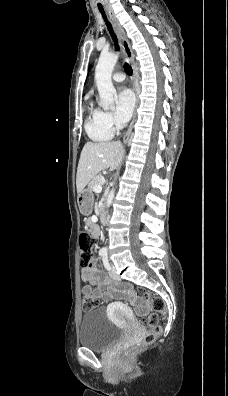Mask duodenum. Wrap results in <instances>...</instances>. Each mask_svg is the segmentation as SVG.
Instances as JSON below:
<instances>
[{
  "mask_svg": "<svg viewBox=\"0 0 228 396\" xmlns=\"http://www.w3.org/2000/svg\"><path fill=\"white\" fill-rule=\"evenodd\" d=\"M99 221L102 224L106 223V212H105V208L104 206L101 207L100 211H99Z\"/></svg>",
  "mask_w": 228,
  "mask_h": 396,
  "instance_id": "obj_1",
  "label": "duodenum"
}]
</instances>
